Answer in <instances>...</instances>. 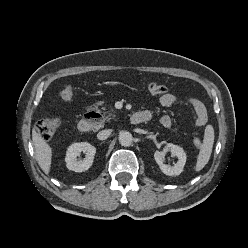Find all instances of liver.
<instances>
[{
	"label": "liver",
	"mask_w": 248,
	"mask_h": 248,
	"mask_svg": "<svg viewBox=\"0 0 248 248\" xmlns=\"http://www.w3.org/2000/svg\"><path fill=\"white\" fill-rule=\"evenodd\" d=\"M32 141L36 160L44 173L48 174L51 167L52 149L43 137L36 132L35 127L32 130Z\"/></svg>",
	"instance_id": "liver-1"
}]
</instances>
